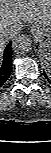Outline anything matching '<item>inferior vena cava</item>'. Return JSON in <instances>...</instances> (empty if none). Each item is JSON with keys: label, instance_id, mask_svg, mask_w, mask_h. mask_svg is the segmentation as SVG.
Listing matches in <instances>:
<instances>
[{"label": "inferior vena cava", "instance_id": "602c4592", "mask_svg": "<svg viewBox=\"0 0 51 153\" xmlns=\"http://www.w3.org/2000/svg\"><path fill=\"white\" fill-rule=\"evenodd\" d=\"M18 33H19V32H17L16 35H17ZM16 35H15V36H16ZM6 38H7V35H6L5 33H2V34L0 35V46H2V45L5 44Z\"/></svg>", "mask_w": 51, "mask_h": 153}]
</instances>
